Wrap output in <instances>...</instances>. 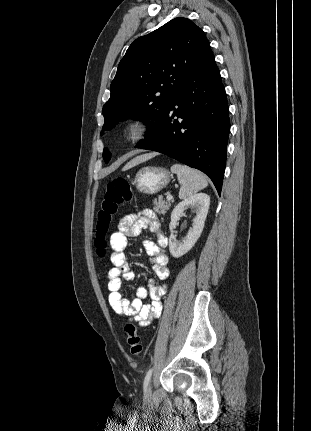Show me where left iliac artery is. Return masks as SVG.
<instances>
[{"label":"left iliac artery","mask_w":311,"mask_h":431,"mask_svg":"<svg viewBox=\"0 0 311 431\" xmlns=\"http://www.w3.org/2000/svg\"><path fill=\"white\" fill-rule=\"evenodd\" d=\"M152 371H153V369L151 368V369H149V370H148V372L146 373V376H145V379H144V384H143V387H144V391H145V392H146L147 387H148V384H149V382H150V378H151V375H152Z\"/></svg>","instance_id":"obj_1"}]
</instances>
